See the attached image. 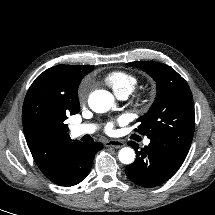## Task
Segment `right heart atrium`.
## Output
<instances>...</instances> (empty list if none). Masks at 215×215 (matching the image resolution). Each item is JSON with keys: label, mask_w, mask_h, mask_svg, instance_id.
Here are the masks:
<instances>
[{"label": "right heart atrium", "mask_w": 215, "mask_h": 215, "mask_svg": "<svg viewBox=\"0 0 215 215\" xmlns=\"http://www.w3.org/2000/svg\"><path fill=\"white\" fill-rule=\"evenodd\" d=\"M90 89V83L88 81H84L78 88V99L80 102H84L88 96Z\"/></svg>", "instance_id": "right-heart-atrium-1"}]
</instances>
